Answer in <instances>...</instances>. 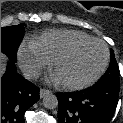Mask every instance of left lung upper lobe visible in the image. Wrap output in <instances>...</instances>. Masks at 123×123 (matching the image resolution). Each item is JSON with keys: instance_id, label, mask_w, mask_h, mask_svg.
Here are the masks:
<instances>
[{"instance_id": "left-lung-upper-lobe-1", "label": "left lung upper lobe", "mask_w": 123, "mask_h": 123, "mask_svg": "<svg viewBox=\"0 0 123 123\" xmlns=\"http://www.w3.org/2000/svg\"><path fill=\"white\" fill-rule=\"evenodd\" d=\"M111 60L106 73L99 79L97 83L113 84L119 86V67L115 60L113 50L110 52Z\"/></svg>"}]
</instances>
